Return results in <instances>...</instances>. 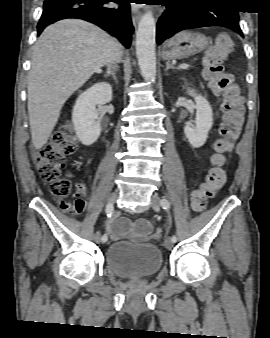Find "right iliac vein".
<instances>
[{
  "label": "right iliac vein",
  "mask_w": 270,
  "mask_h": 338,
  "mask_svg": "<svg viewBox=\"0 0 270 338\" xmlns=\"http://www.w3.org/2000/svg\"><path fill=\"white\" fill-rule=\"evenodd\" d=\"M116 199H117V194L116 193H111L109 196H108V198H107V201H108V203H114L115 201H116ZM94 240H95V242H97V243H100V241H101V235H100V232H96L95 234H94Z\"/></svg>",
  "instance_id": "63e3f726"
}]
</instances>
